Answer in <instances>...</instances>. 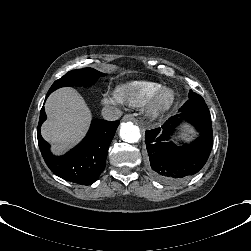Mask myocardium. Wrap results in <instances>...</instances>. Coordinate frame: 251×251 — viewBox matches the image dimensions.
<instances>
[{"label":"myocardium","mask_w":251,"mask_h":251,"mask_svg":"<svg viewBox=\"0 0 251 251\" xmlns=\"http://www.w3.org/2000/svg\"><path fill=\"white\" fill-rule=\"evenodd\" d=\"M165 88L172 89L174 93V99L172 100L171 103L163 105L159 103L158 98L160 92ZM179 101H180V93L178 89L168 81H160L153 90L148 102L145 105L146 114L151 117H158L174 109L179 104Z\"/></svg>","instance_id":"myocardium-1"}]
</instances>
